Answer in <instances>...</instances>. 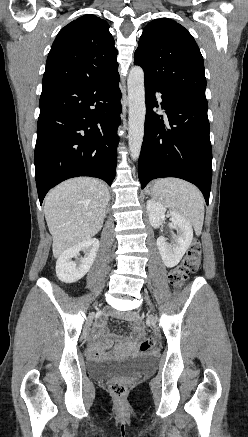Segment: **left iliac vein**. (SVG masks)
Wrapping results in <instances>:
<instances>
[{"instance_id":"1","label":"left iliac vein","mask_w":248,"mask_h":437,"mask_svg":"<svg viewBox=\"0 0 248 437\" xmlns=\"http://www.w3.org/2000/svg\"><path fill=\"white\" fill-rule=\"evenodd\" d=\"M145 298H146V300H147L148 304H149V305H151V302H150V299H149V297H148V296L146 295V296H145Z\"/></svg>"}]
</instances>
